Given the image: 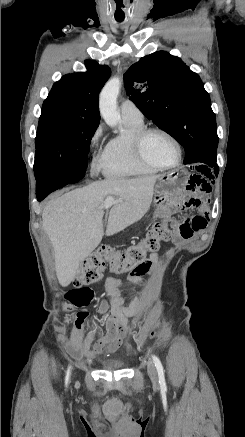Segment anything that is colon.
Instances as JSON below:
<instances>
[{"mask_svg":"<svg viewBox=\"0 0 245 437\" xmlns=\"http://www.w3.org/2000/svg\"><path fill=\"white\" fill-rule=\"evenodd\" d=\"M171 215L165 211L160 221L156 222L143 241L126 251H119L110 246H102L92 253L81 265L74 280L75 288L66 295L67 300L74 307H84L90 303L93 297L89 285L99 283L105 271L119 276L124 274L138 273L146 269V252L155 251L161 242L170 240L172 232L169 227ZM87 312L80 311L76 314V321H84ZM155 335V329L150 332Z\"/></svg>","mask_w":245,"mask_h":437,"instance_id":"colon-1","label":"colon"}]
</instances>
